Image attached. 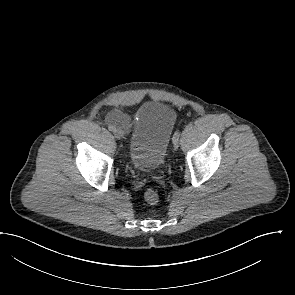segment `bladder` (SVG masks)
Here are the masks:
<instances>
[{
    "instance_id": "bladder-1",
    "label": "bladder",
    "mask_w": 295,
    "mask_h": 295,
    "mask_svg": "<svg viewBox=\"0 0 295 295\" xmlns=\"http://www.w3.org/2000/svg\"><path fill=\"white\" fill-rule=\"evenodd\" d=\"M176 115L161 101H149L137 110L129 137L133 165L142 171L160 168L170 142Z\"/></svg>"
}]
</instances>
